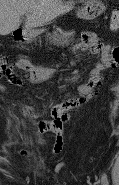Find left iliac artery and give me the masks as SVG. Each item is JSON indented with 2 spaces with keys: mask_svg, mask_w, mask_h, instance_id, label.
<instances>
[{
  "mask_svg": "<svg viewBox=\"0 0 119 185\" xmlns=\"http://www.w3.org/2000/svg\"><path fill=\"white\" fill-rule=\"evenodd\" d=\"M102 184L109 185V181H108L107 175L105 173L102 174Z\"/></svg>",
  "mask_w": 119,
  "mask_h": 185,
  "instance_id": "obj_1",
  "label": "left iliac artery"
}]
</instances>
